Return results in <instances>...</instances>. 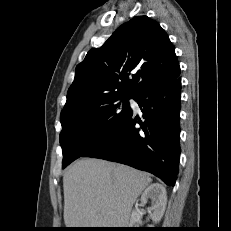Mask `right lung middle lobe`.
I'll return each mask as SVG.
<instances>
[{
	"instance_id": "obj_1",
	"label": "right lung middle lobe",
	"mask_w": 231,
	"mask_h": 231,
	"mask_svg": "<svg viewBox=\"0 0 231 231\" xmlns=\"http://www.w3.org/2000/svg\"><path fill=\"white\" fill-rule=\"evenodd\" d=\"M131 98L134 97H119L60 117L62 168L100 146L122 127L132 114L129 106Z\"/></svg>"
}]
</instances>
